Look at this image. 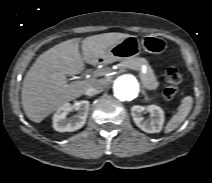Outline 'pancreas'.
<instances>
[{
  "label": "pancreas",
  "mask_w": 212,
  "mask_h": 183,
  "mask_svg": "<svg viewBox=\"0 0 212 183\" xmlns=\"http://www.w3.org/2000/svg\"><path fill=\"white\" fill-rule=\"evenodd\" d=\"M143 65H146L147 67L145 74L142 72ZM120 66L122 68H129L135 71H139L140 80L146 89L156 90L158 88L159 82L156 80L155 74L153 73L152 68L148 65V62L145 58L133 57L122 61Z\"/></svg>",
  "instance_id": "1"
}]
</instances>
